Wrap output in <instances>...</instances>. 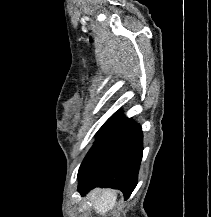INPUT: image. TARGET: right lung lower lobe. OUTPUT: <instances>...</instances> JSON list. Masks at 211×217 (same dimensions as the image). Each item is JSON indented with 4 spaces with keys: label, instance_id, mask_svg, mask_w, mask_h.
<instances>
[{
    "label": "right lung lower lobe",
    "instance_id": "right-lung-lower-lobe-1",
    "mask_svg": "<svg viewBox=\"0 0 211 217\" xmlns=\"http://www.w3.org/2000/svg\"><path fill=\"white\" fill-rule=\"evenodd\" d=\"M143 134L139 124L121 116L97 138L78 172V192L94 187L119 189L127 200L137 184Z\"/></svg>",
    "mask_w": 211,
    "mask_h": 217
}]
</instances>
